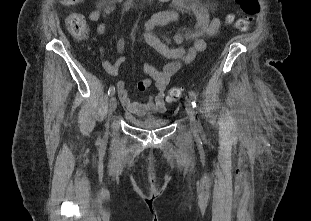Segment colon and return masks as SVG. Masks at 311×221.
<instances>
[{
	"label": "colon",
	"mask_w": 311,
	"mask_h": 221,
	"mask_svg": "<svg viewBox=\"0 0 311 221\" xmlns=\"http://www.w3.org/2000/svg\"><path fill=\"white\" fill-rule=\"evenodd\" d=\"M79 0H68L62 1V8H72L73 4H78ZM242 11H243V19L237 20L239 21V26H236L239 30H245L247 26L250 24L252 17L255 16L260 11V0H238ZM232 18H235V15L230 14L227 17L229 22H232ZM65 25L68 32L78 40L86 39L89 32V25L81 13H70L65 19ZM182 94L181 87H171L168 89L165 100L167 103H172L177 101Z\"/></svg>",
	"instance_id": "1"
}]
</instances>
